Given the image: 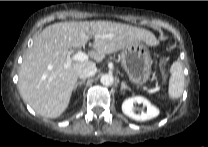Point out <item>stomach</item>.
Listing matches in <instances>:
<instances>
[{"mask_svg": "<svg viewBox=\"0 0 208 147\" xmlns=\"http://www.w3.org/2000/svg\"><path fill=\"white\" fill-rule=\"evenodd\" d=\"M121 63L134 84L143 85L149 79L152 59L149 50L141 42L133 43L123 49Z\"/></svg>", "mask_w": 208, "mask_h": 147, "instance_id": "obj_1", "label": "stomach"}]
</instances>
